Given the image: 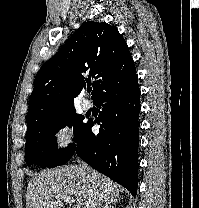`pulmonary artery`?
Here are the masks:
<instances>
[{
    "mask_svg": "<svg viewBox=\"0 0 199 208\" xmlns=\"http://www.w3.org/2000/svg\"><path fill=\"white\" fill-rule=\"evenodd\" d=\"M91 106H92V104L88 99L83 98L81 100V107H82L83 110L87 111L91 108Z\"/></svg>",
    "mask_w": 199,
    "mask_h": 208,
    "instance_id": "pulmonary-artery-1",
    "label": "pulmonary artery"
}]
</instances>
